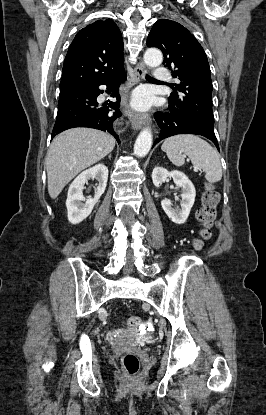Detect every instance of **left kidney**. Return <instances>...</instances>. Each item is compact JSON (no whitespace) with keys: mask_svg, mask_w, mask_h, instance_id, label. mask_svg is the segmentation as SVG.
I'll return each instance as SVG.
<instances>
[{"mask_svg":"<svg viewBox=\"0 0 266 415\" xmlns=\"http://www.w3.org/2000/svg\"><path fill=\"white\" fill-rule=\"evenodd\" d=\"M168 177H172L176 186L182 190L180 202L181 208H172V202L168 199H163L161 201V206L172 222L176 224H183L187 220L195 201V187L189 178L180 171L174 170L169 172L167 169L162 167H155L153 169L152 181L154 186L160 187L161 184L168 179Z\"/></svg>","mask_w":266,"mask_h":415,"instance_id":"1","label":"left kidney"}]
</instances>
